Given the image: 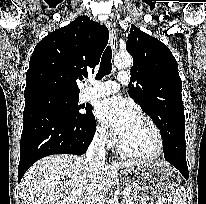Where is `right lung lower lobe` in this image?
<instances>
[{"label":"right lung lower lobe","instance_id":"1","mask_svg":"<svg viewBox=\"0 0 206 204\" xmlns=\"http://www.w3.org/2000/svg\"><path fill=\"white\" fill-rule=\"evenodd\" d=\"M23 119L18 182L34 162L45 156L84 154L96 129L93 115L74 120L46 107L24 110Z\"/></svg>","mask_w":206,"mask_h":204}]
</instances>
